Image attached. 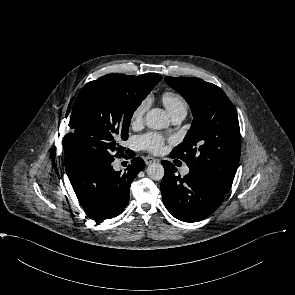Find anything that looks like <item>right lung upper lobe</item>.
Segmentation results:
<instances>
[{"instance_id": "cb5924a9", "label": "right lung upper lobe", "mask_w": 295, "mask_h": 295, "mask_svg": "<svg viewBox=\"0 0 295 295\" xmlns=\"http://www.w3.org/2000/svg\"><path fill=\"white\" fill-rule=\"evenodd\" d=\"M148 75H149L150 79L154 82L155 85L162 79V77L158 74L148 73ZM73 168H74V166H69V165L65 164V169H66L67 174L69 172H71Z\"/></svg>"}]
</instances>
